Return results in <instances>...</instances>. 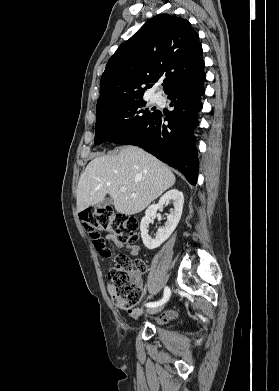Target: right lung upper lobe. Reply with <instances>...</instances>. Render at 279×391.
I'll use <instances>...</instances> for the list:
<instances>
[{
    "instance_id": "cb5924a9",
    "label": "right lung upper lobe",
    "mask_w": 279,
    "mask_h": 391,
    "mask_svg": "<svg viewBox=\"0 0 279 391\" xmlns=\"http://www.w3.org/2000/svg\"><path fill=\"white\" fill-rule=\"evenodd\" d=\"M199 35L188 20L168 14L149 20L109 59L100 83L96 114L142 100L147 88L161 77L164 91L203 71ZM146 84V87H142Z\"/></svg>"
}]
</instances>
